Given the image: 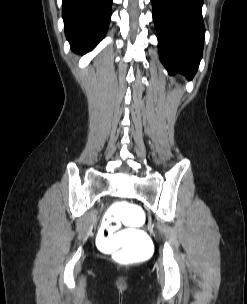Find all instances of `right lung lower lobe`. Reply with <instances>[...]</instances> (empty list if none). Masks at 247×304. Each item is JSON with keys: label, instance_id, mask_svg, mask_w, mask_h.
<instances>
[{"label": "right lung lower lobe", "instance_id": "1", "mask_svg": "<svg viewBox=\"0 0 247 304\" xmlns=\"http://www.w3.org/2000/svg\"><path fill=\"white\" fill-rule=\"evenodd\" d=\"M112 0H62L65 34L79 54L92 50L105 36Z\"/></svg>", "mask_w": 247, "mask_h": 304}]
</instances>
